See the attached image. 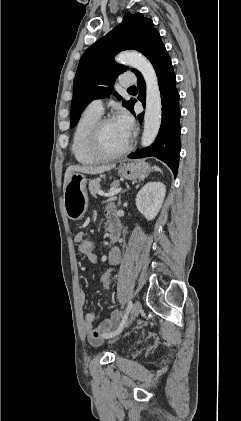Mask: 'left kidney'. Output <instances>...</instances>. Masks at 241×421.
<instances>
[{"mask_svg":"<svg viewBox=\"0 0 241 421\" xmlns=\"http://www.w3.org/2000/svg\"><path fill=\"white\" fill-rule=\"evenodd\" d=\"M166 187L161 182L147 183L136 196L137 209L149 220H153L164 201Z\"/></svg>","mask_w":241,"mask_h":421,"instance_id":"left-kidney-1","label":"left kidney"}]
</instances>
